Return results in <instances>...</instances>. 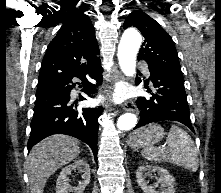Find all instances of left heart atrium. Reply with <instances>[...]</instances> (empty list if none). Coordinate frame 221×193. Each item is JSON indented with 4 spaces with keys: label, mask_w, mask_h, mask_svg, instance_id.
I'll list each match as a JSON object with an SVG mask.
<instances>
[{
    "label": "left heart atrium",
    "mask_w": 221,
    "mask_h": 193,
    "mask_svg": "<svg viewBox=\"0 0 221 193\" xmlns=\"http://www.w3.org/2000/svg\"><path fill=\"white\" fill-rule=\"evenodd\" d=\"M124 92L121 89H118L114 95L116 101H121L124 98Z\"/></svg>",
    "instance_id": "left-heart-atrium-1"
}]
</instances>
